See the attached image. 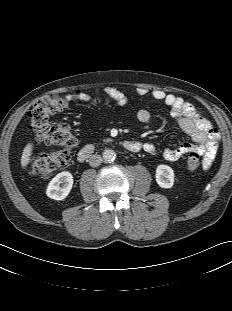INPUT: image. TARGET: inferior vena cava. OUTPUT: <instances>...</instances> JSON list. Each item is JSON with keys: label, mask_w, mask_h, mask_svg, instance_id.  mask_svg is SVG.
<instances>
[{"label": "inferior vena cava", "mask_w": 232, "mask_h": 311, "mask_svg": "<svg viewBox=\"0 0 232 311\" xmlns=\"http://www.w3.org/2000/svg\"><path fill=\"white\" fill-rule=\"evenodd\" d=\"M101 162H102V157L100 155L95 154L89 158V165L92 167L99 166Z\"/></svg>", "instance_id": "602c4592"}]
</instances>
